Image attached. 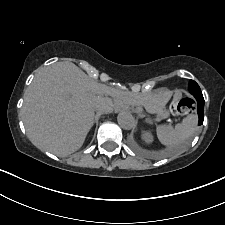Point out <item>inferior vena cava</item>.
Masks as SVG:
<instances>
[{
  "instance_id": "602c4592",
  "label": "inferior vena cava",
  "mask_w": 225,
  "mask_h": 225,
  "mask_svg": "<svg viewBox=\"0 0 225 225\" xmlns=\"http://www.w3.org/2000/svg\"><path fill=\"white\" fill-rule=\"evenodd\" d=\"M97 110H102L103 111V108L100 107V106H97Z\"/></svg>"
}]
</instances>
